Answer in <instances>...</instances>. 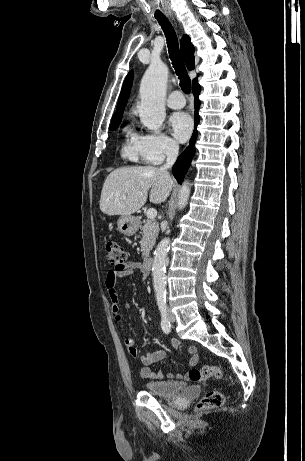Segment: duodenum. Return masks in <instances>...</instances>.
Listing matches in <instances>:
<instances>
[{"label":"duodenum","mask_w":305,"mask_h":461,"mask_svg":"<svg viewBox=\"0 0 305 461\" xmlns=\"http://www.w3.org/2000/svg\"><path fill=\"white\" fill-rule=\"evenodd\" d=\"M154 260L151 256H146L144 259V266L146 269H151L153 267Z\"/></svg>","instance_id":"410a0bca"}]
</instances>
